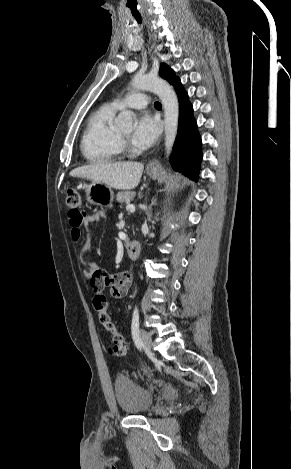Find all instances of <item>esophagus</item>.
I'll use <instances>...</instances> for the list:
<instances>
[{"mask_svg":"<svg viewBox=\"0 0 291 469\" xmlns=\"http://www.w3.org/2000/svg\"><path fill=\"white\" fill-rule=\"evenodd\" d=\"M157 165L158 163L155 160H152L148 163L147 168H155Z\"/></svg>","mask_w":291,"mask_h":469,"instance_id":"obj_1","label":"esophagus"}]
</instances>
